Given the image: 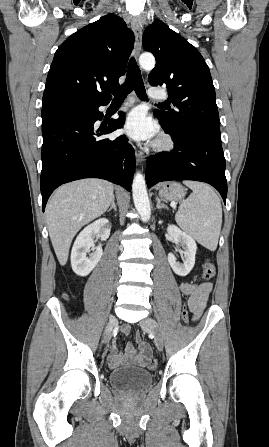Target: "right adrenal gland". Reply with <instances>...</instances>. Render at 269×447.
<instances>
[{
    "instance_id": "right-adrenal-gland-1",
    "label": "right adrenal gland",
    "mask_w": 269,
    "mask_h": 447,
    "mask_svg": "<svg viewBox=\"0 0 269 447\" xmlns=\"http://www.w3.org/2000/svg\"><path fill=\"white\" fill-rule=\"evenodd\" d=\"M111 210H115V212H117V208H116V204H115V196H113L112 204H111L109 210H107V212H111Z\"/></svg>"
}]
</instances>
